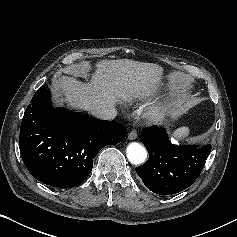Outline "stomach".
Wrapping results in <instances>:
<instances>
[{"instance_id": "1", "label": "stomach", "mask_w": 237, "mask_h": 237, "mask_svg": "<svg viewBox=\"0 0 237 237\" xmlns=\"http://www.w3.org/2000/svg\"><path fill=\"white\" fill-rule=\"evenodd\" d=\"M179 112L177 110H172L170 113L171 119L173 121L177 120L179 118Z\"/></svg>"}]
</instances>
